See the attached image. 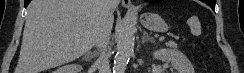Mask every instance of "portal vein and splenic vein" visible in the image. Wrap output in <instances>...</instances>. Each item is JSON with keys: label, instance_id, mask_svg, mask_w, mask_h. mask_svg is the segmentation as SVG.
Segmentation results:
<instances>
[{"label": "portal vein and splenic vein", "instance_id": "1", "mask_svg": "<svg viewBox=\"0 0 244 73\" xmlns=\"http://www.w3.org/2000/svg\"><path fill=\"white\" fill-rule=\"evenodd\" d=\"M163 40H164V38H162V37H161V38H159V41H163Z\"/></svg>", "mask_w": 244, "mask_h": 73}]
</instances>
